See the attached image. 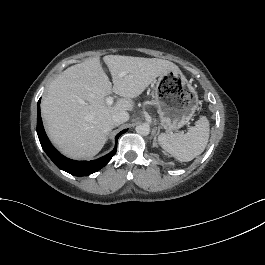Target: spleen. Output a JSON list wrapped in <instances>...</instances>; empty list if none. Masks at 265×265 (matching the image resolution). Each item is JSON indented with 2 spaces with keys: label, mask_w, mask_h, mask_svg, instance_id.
Returning a JSON list of instances; mask_svg holds the SVG:
<instances>
[{
  "label": "spleen",
  "mask_w": 265,
  "mask_h": 265,
  "mask_svg": "<svg viewBox=\"0 0 265 265\" xmlns=\"http://www.w3.org/2000/svg\"><path fill=\"white\" fill-rule=\"evenodd\" d=\"M209 124L205 119L197 121L186 134L161 133L158 136L160 146L179 161H191L201 154L208 142Z\"/></svg>",
  "instance_id": "1"
}]
</instances>
